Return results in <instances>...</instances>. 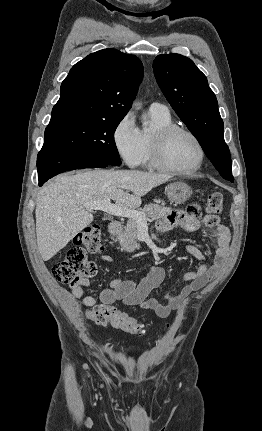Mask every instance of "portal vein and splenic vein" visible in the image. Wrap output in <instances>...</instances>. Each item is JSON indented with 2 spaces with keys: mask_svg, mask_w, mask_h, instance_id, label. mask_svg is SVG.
Listing matches in <instances>:
<instances>
[{
  "mask_svg": "<svg viewBox=\"0 0 262 431\" xmlns=\"http://www.w3.org/2000/svg\"><path fill=\"white\" fill-rule=\"evenodd\" d=\"M83 206L88 210H101L114 216L134 219L138 225H146L148 220L142 212L116 206L108 198L101 201L84 203Z\"/></svg>",
  "mask_w": 262,
  "mask_h": 431,
  "instance_id": "portal-vein-and-splenic-vein-1",
  "label": "portal vein and splenic vein"
}]
</instances>
